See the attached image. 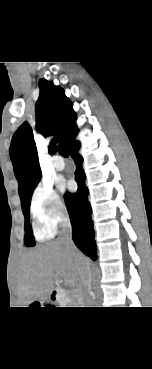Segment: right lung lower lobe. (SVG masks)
Listing matches in <instances>:
<instances>
[{
	"instance_id": "obj_1",
	"label": "right lung lower lobe",
	"mask_w": 152,
	"mask_h": 369,
	"mask_svg": "<svg viewBox=\"0 0 152 369\" xmlns=\"http://www.w3.org/2000/svg\"><path fill=\"white\" fill-rule=\"evenodd\" d=\"M79 148L80 143L75 140L68 146V151L77 166L75 180L78 183V190L74 194L66 193L64 198L71 219L73 241L84 254L95 260L96 244L91 220L92 210L87 199L89 191L85 186V173L82 169L83 158L78 154Z\"/></svg>"
}]
</instances>
